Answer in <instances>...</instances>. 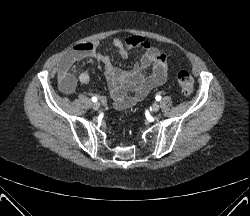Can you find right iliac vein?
Listing matches in <instances>:
<instances>
[{
	"mask_svg": "<svg viewBox=\"0 0 250 216\" xmlns=\"http://www.w3.org/2000/svg\"><path fill=\"white\" fill-rule=\"evenodd\" d=\"M99 108H100V103H99V102H95V103L93 104V109H94V110H99Z\"/></svg>",
	"mask_w": 250,
	"mask_h": 216,
	"instance_id": "right-iliac-vein-1",
	"label": "right iliac vein"
}]
</instances>
